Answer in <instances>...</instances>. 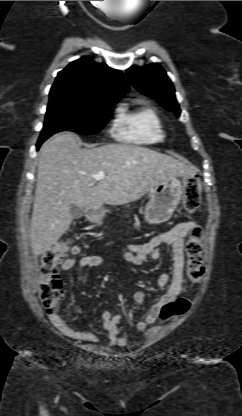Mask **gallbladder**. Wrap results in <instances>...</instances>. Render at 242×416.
Wrapping results in <instances>:
<instances>
[{"mask_svg": "<svg viewBox=\"0 0 242 416\" xmlns=\"http://www.w3.org/2000/svg\"><path fill=\"white\" fill-rule=\"evenodd\" d=\"M70 212L73 219H78L84 215V208L72 204L70 207Z\"/></svg>", "mask_w": 242, "mask_h": 416, "instance_id": "1", "label": "gallbladder"}]
</instances>
